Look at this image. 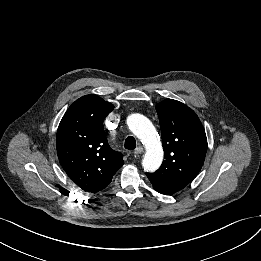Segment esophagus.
Returning a JSON list of instances; mask_svg holds the SVG:
<instances>
[{
	"label": "esophagus",
	"mask_w": 261,
	"mask_h": 261,
	"mask_svg": "<svg viewBox=\"0 0 261 261\" xmlns=\"http://www.w3.org/2000/svg\"><path fill=\"white\" fill-rule=\"evenodd\" d=\"M143 152V148L141 146L137 147L135 150H134V154L135 155H139L140 153Z\"/></svg>",
	"instance_id": "obj_1"
}]
</instances>
